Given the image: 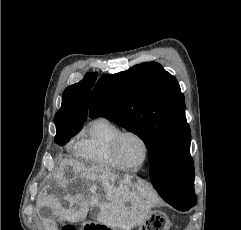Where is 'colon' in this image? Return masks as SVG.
<instances>
[{
    "instance_id": "obj_1",
    "label": "colon",
    "mask_w": 241,
    "mask_h": 230,
    "mask_svg": "<svg viewBox=\"0 0 241 230\" xmlns=\"http://www.w3.org/2000/svg\"><path fill=\"white\" fill-rule=\"evenodd\" d=\"M62 230H76L74 227L66 226Z\"/></svg>"
}]
</instances>
